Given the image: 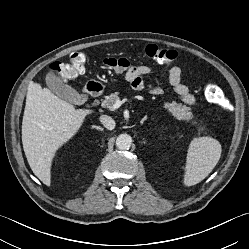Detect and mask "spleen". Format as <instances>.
I'll list each match as a JSON object with an SVG mask.
<instances>
[{"label": "spleen", "mask_w": 249, "mask_h": 249, "mask_svg": "<svg viewBox=\"0 0 249 249\" xmlns=\"http://www.w3.org/2000/svg\"><path fill=\"white\" fill-rule=\"evenodd\" d=\"M221 144L212 137L194 138L188 148L184 184L192 186L205 179L218 163Z\"/></svg>", "instance_id": "3e777b00"}]
</instances>
